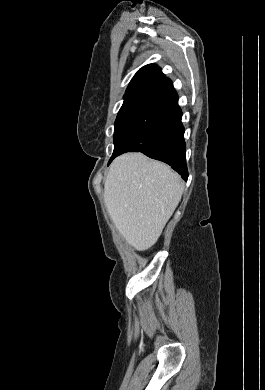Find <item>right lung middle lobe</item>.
I'll use <instances>...</instances> for the list:
<instances>
[{
    "mask_svg": "<svg viewBox=\"0 0 265 390\" xmlns=\"http://www.w3.org/2000/svg\"><path fill=\"white\" fill-rule=\"evenodd\" d=\"M154 100L147 98H135L125 100L120 108L115 121L114 150L127 127L142 113Z\"/></svg>",
    "mask_w": 265,
    "mask_h": 390,
    "instance_id": "right-lung-middle-lobe-1",
    "label": "right lung middle lobe"
}]
</instances>
